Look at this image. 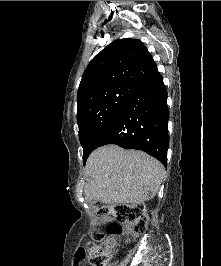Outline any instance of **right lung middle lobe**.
Returning a JSON list of instances; mask_svg holds the SVG:
<instances>
[{"instance_id": "dd1d6c3e", "label": "right lung middle lobe", "mask_w": 221, "mask_h": 266, "mask_svg": "<svg viewBox=\"0 0 221 266\" xmlns=\"http://www.w3.org/2000/svg\"><path fill=\"white\" fill-rule=\"evenodd\" d=\"M136 88L118 85L99 89L80 100L77 105V122L84 164L101 135L119 115Z\"/></svg>"}]
</instances>
